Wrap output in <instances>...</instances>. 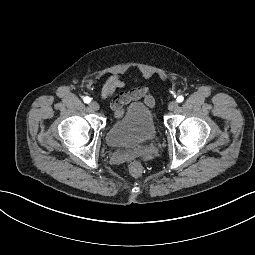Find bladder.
<instances>
[{"label": "bladder", "mask_w": 255, "mask_h": 255, "mask_svg": "<svg viewBox=\"0 0 255 255\" xmlns=\"http://www.w3.org/2000/svg\"><path fill=\"white\" fill-rule=\"evenodd\" d=\"M152 110L143 102H132L124 113L113 120L106 132V140L113 147H128L152 141L157 136Z\"/></svg>", "instance_id": "bladder-1"}]
</instances>
